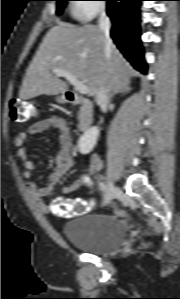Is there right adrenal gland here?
I'll return each mask as SVG.
<instances>
[{"mask_svg": "<svg viewBox=\"0 0 180 299\" xmlns=\"http://www.w3.org/2000/svg\"><path fill=\"white\" fill-rule=\"evenodd\" d=\"M130 90V88L128 87L127 89H126V91H129ZM113 97V94L111 95V98Z\"/></svg>", "mask_w": 180, "mask_h": 299, "instance_id": "2a0ac1e0", "label": "right adrenal gland"}]
</instances>
